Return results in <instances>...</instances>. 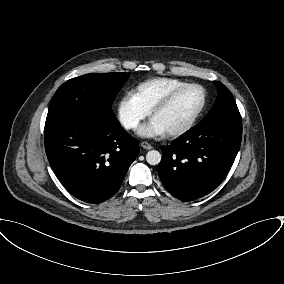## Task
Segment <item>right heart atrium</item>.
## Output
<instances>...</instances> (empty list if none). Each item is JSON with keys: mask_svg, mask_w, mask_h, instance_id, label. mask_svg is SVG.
I'll return each instance as SVG.
<instances>
[{"mask_svg": "<svg viewBox=\"0 0 284 284\" xmlns=\"http://www.w3.org/2000/svg\"><path fill=\"white\" fill-rule=\"evenodd\" d=\"M149 115V111L131 92L125 93L117 103V118L127 130L136 129Z\"/></svg>", "mask_w": 284, "mask_h": 284, "instance_id": "right-heart-atrium-1", "label": "right heart atrium"}]
</instances>
